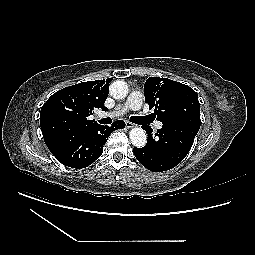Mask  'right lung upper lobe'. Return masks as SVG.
<instances>
[{"label":"right lung upper lobe","instance_id":"1","mask_svg":"<svg viewBox=\"0 0 255 255\" xmlns=\"http://www.w3.org/2000/svg\"><path fill=\"white\" fill-rule=\"evenodd\" d=\"M111 79L82 82L54 93L42 106L40 126L51 152L77 133L99 125L88 116L95 108L106 111L104 102Z\"/></svg>","mask_w":255,"mask_h":255}]
</instances>
